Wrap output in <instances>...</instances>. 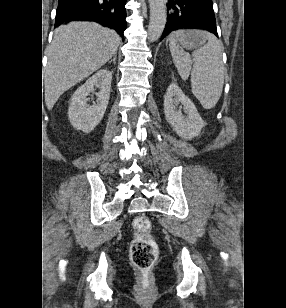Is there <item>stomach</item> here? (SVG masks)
Wrapping results in <instances>:
<instances>
[{"mask_svg":"<svg viewBox=\"0 0 286 308\" xmlns=\"http://www.w3.org/2000/svg\"><path fill=\"white\" fill-rule=\"evenodd\" d=\"M205 42L206 37L198 31H186L184 35L177 37L178 45L189 50L200 47L204 45Z\"/></svg>","mask_w":286,"mask_h":308,"instance_id":"obj_1","label":"stomach"}]
</instances>
